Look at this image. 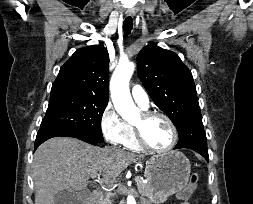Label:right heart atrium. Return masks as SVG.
Wrapping results in <instances>:
<instances>
[{
    "label": "right heart atrium",
    "mask_w": 253,
    "mask_h": 204,
    "mask_svg": "<svg viewBox=\"0 0 253 204\" xmlns=\"http://www.w3.org/2000/svg\"><path fill=\"white\" fill-rule=\"evenodd\" d=\"M103 137L112 144H123L129 134V125L112 105H107L100 119Z\"/></svg>",
    "instance_id": "1"
}]
</instances>
